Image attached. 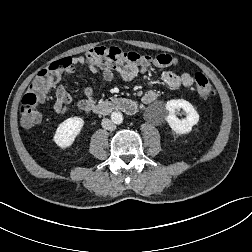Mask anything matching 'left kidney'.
Here are the masks:
<instances>
[{
	"mask_svg": "<svg viewBox=\"0 0 252 252\" xmlns=\"http://www.w3.org/2000/svg\"><path fill=\"white\" fill-rule=\"evenodd\" d=\"M168 115L166 121L170 128L178 134H187L199 121V114L195 108L184 99L170 100L165 105ZM182 108L186 112V118L180 120L175 111Z\"/></svg>",
	"mask_w": 252,
	"mask_h": 252,
	"instance_id": "5707ae66",
	"label": "left kidney"
}]
</instances>
